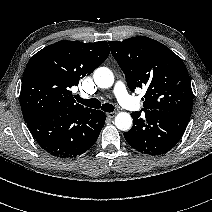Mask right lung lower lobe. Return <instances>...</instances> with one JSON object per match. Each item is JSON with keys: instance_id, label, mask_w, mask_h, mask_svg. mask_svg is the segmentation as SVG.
Listing matches in <instances>:
<instances>
[{"instance_id": "right-lung-lower-lobe-1", "label": "right lung lower lobe", "mask_w": 212, "mask_h": 212, "mask_svg": "<svg viewBox=\"0 0 212 212\" xmlns=\"http://www.w3.org/2000/svg\"><path fill=\"white\" fill-rule=\"evenodd\" d=\"M105 119L104 112L88 109L66 114H44L26 123L35 140L49 154L58 158H73L94 145Z\"/></svg>"}]
</instances>
